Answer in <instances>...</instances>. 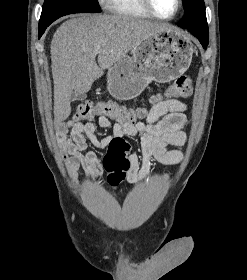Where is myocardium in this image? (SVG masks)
Listing matches in <instances>:
<instances>
[{
  "label": "myocardium",
  "instance_id": "obj_1",
  "mask_svg": "<svg viewBox=\"0 0 247 280\" xmlns=\"http://www.w3.org/2000/svg\"><path fill=\"white\" fill-rule=\"evenodd\" d=\"M176 2H177V6H176L175 12L169 17H162V16L158 15L156 13V11L154 10L151 0H142V4H143L144 8L147 10V12L152 17L159 19V20H164V21L173 20L179 14L181 7H182V0H176Z\"/></svg>",
  "mask_w": 247,
  "mask_h": 280
}]
</instances>
